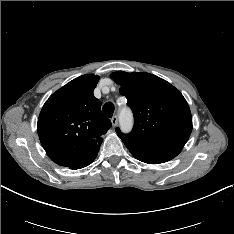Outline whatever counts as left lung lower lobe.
Segmentation results:
<instances>
[{
    "label": "left lung lower lobe",
    "mask_w": 234,
    "mask_h": 234,
    "mask_svg": "<svg viewBox=\"0 0 234 234\" xmlns=\"http://www.w3.org/2000/svg\"><path fill=\"white\" fill-rule=\"evenodd\" d=\"M131 154L138 160L149 163L158 164L169 161L176 157L182 148H152L124 142Z\"/></svg>",
    "instance_id": "obj_1"
}]
</instances>
